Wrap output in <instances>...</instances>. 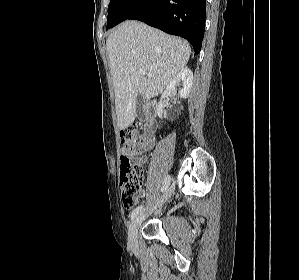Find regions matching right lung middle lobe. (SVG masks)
Segmentation results:
<instances>
[{"mask_svg":"<svg viewBox=\"0 0 299 280\" xmlns=\"http://www.w3.org/2000/svg\"><path fill=\"white\" fill-rule=\"evenodd\" d=\"M132 2V0H110L108 6L107 28L114 27L120 14Z\"/></svg>","mask_w":299,"mask_h":280,"instance_id":"dd1d6c3e","label":"right lung middle lobe"}]
</instances>
